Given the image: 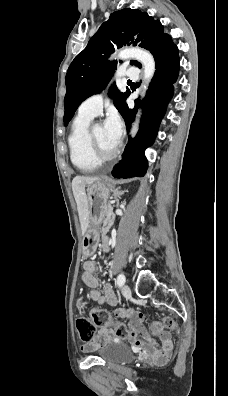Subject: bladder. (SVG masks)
I'll list each match as a JSON object with an SVG mask.
<instances>
[{
	"label": "bladder",
	"instance_id": "bladder-1",
	"mask_svg": "<svg viewBox=\"0 0 228 396\" xmlns=\"http://www.w3.org/2000/svg\"><path fill=\"white\" fill-rule=\"evenodd\" d=\"M91 351L109 364H124L134 356L131 348L120 342H107Z\"/></svg>",
	"mask_w": 228,
	"mask_h": 396
}]
</instances>
